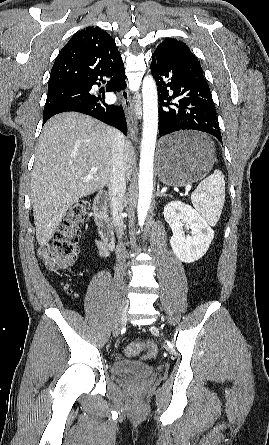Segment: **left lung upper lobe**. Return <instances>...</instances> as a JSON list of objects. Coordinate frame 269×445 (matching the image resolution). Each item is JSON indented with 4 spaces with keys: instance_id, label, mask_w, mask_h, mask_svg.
<instances>
[{
    "instance_id": "obj_1",
    "label": "left lung upper lobe",
    "mask_w": 269,
    "mask_h": 445,
    "mask_svg": "<svg viewBox=\"0 0 269 445\" xmlns=\"http://www.w3.org/2000/svg\"><path fill=\"white\" fill-rule=\"evenodd\" d=\"M159 53H171L174 55L188 54L193 55L188 46L182 41L173 38L165 39L155 50Z\"/></svg>"
}]
</instances>
